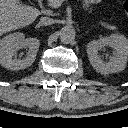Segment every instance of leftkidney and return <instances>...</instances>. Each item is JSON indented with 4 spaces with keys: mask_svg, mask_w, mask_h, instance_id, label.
Masks as SVG:
<instances>
[{
    "mask_svg": "<svg viewBox=\"0 0 128 128\" xmlns=\"http://www.w3.org/2000/svg\"><path fill=\"white\" fill-rule=\"evenodd\" d=\"M113 48V56L108 62H104L98 51L104 47ZM87 54L93 68L101 74H111L125 69L128 59V40L123 35L113 34L100 40L91 41L87 45Z\"/></svg>",
    "mask_w": 128,
    "mask_h": 128,
    "instance_id": "obj_1",
    "label": "left kidney"
}]
</instances>
